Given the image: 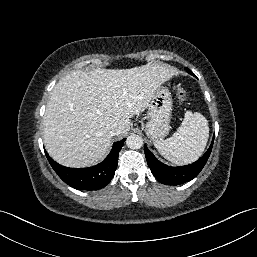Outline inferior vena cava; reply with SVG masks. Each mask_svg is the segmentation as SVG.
<instances>
[{"instance_id": "inferior-vena-cava-1", "label": "inferior vena cava", "mask_w": 257, "mask_h": 257, "mask_svg": "<svg viewBox=\"0 0 257 257\" xmlns=\"http://www.w3.org/2000/svg\"><path fill=\"white\" fill-rule=\"evenodd\" d=\"M109 134H110V136L118 135V134H119V129H117V128H112V129L109 131Z\"/></svg>"}]
</instances>
